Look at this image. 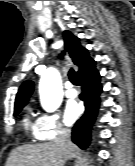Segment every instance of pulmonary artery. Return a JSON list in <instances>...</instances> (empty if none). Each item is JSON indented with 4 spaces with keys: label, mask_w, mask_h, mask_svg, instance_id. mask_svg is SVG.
Returning <instances> with one entry per match:
<instances>
[{
    "label": "pulmonary artery",
    "mask_w": 135,
    "mask_h": 166,
    "mask_svg": "<svg viewBox=\"0 0 135 166\" xmlns=\"http://www.w3.org/2000/svg\"><path fill=\"white\" fill-rule=\"evenodd\" d=\"M65 96L67 98L73 99L77 96V92L71 85H67L66 91H65Z\"/></svg>",
    "instance_id": "1"
}]
</instances>
